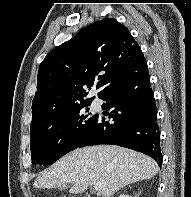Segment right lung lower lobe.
I'll use <instances>...</instances> for the list:
<instances>
[{
    "mask_svg": "<svg viewBox=\"0 0 191 197\" xmlns=\"http://www.w3.org/2000/svg\"><path fill=\"white\" fill-rule=\"evenodd\" d=\"M102 108L111 110L97 118L77 148L98 144L123 146L162 164L157 110L147 65L107 88L100 96Z\"/></svg>",
    "mask_w": 191,
    "mask_h": 197,
    "instance_id": "98d812e1",
    "label": "right lung lower lobe"
}]
</instances>
